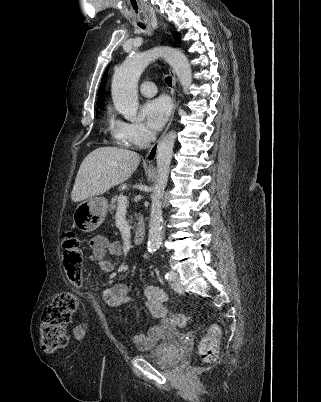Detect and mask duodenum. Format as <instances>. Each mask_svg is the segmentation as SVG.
Wrapping results in <instances>:
<instances>
[{
  "label": "duodenum",
  "instance_id": "1",
  "mask_svg": "<svg viewBox=\"0 0 321 402\" xmlns=\"http://www.w3.org/2000/svg\"><path fill=\"white\" fill-rule=\"evenodd\" d=\"M146 235V225L142 218H139L136 230L133 234V242L136 245L143 243Z\"/></svg>",
  "mask_w": 321,
  "mask_h": 402
}]
</instances>
